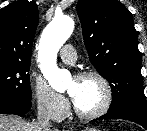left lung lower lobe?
I'll return each mask as SVG.
<instances>
[{
    "mask_svg": "<svg viewBox=\"0 0 147 131\" xmlns=\"http://www.w3.org/2000/svg\"><path fill=\"white\" fill-rule=\"evenodd\" d=\"M101 119L129 120L143 126L147 130V110L121 109L116 111H108V113L95 120Z\"/></svg>",
    "mask_w": 147,
    "mask_h": 131,
    "instance_id": "1",
    "label": "left lung lower lobe"
}]
</instances>
